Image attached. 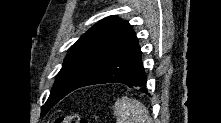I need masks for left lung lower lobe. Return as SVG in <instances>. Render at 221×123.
<instances>
[{"label":"left lung lower lobe","mask_w":221,"mask_h":123,"mask_svg":"<svg viewBox=\"0 0 221 123\" xmlns=\"http://www.w3.org/2000/svg\"><path fill=\"white\" fill-rule=\"evenodd\" d=\"M112 82L124 83L129 87L139 86L143 92H146V75L138 44L100 68L78 88Z\"/></svg>","instance_id":"left-lung-lower-lobe-1"}]
</instances>
